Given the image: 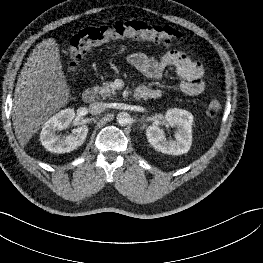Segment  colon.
<instances>
[{
	"mask_svg": "<svg viewBox=\"0 0 263 263\" xmlns=\"http://www.w3.org/2000/svg\"><path fill=\"white\" fill-rule=\"evenodd\" d=\"M181 37V32L173 28L153 27L137 21L92 27L79 31L70 39L68 47L69 64L72 69H76L88 51L113 40L131 38L171 44L180 40ZM221 107V99L211 97L206 104V113L208 116L214 117L220 112Z\"/></svg>",
	"mask_w": 263,
	"mask_h": 263,
	"instance_id": "obj_1",
	"label": "colon"
}]
</instances>
